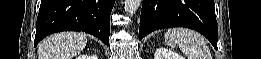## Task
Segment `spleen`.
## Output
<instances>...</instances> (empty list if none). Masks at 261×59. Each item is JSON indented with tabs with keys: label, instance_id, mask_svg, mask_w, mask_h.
<instances>
[{
	"label": "spleen",
	"instance_id": "1",
	"mask_svg": "<svg viewBox=\"0 0 261 59\" xmlns=\"http://www.w3.org/2000/svg\"><path fill=\"white\" fill-rule=\"evenodd\" d=\"M164 37L168 46H178L188 59H212L204 38L193 30L171 28L166 31Z\"/></svg>",
	"mask_w": 261,
	"mask_h": 59
}]
</instances>
